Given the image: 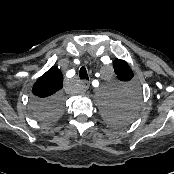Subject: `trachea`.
<instances>
[{
    "instance_id": "3493384b",
    "label": "trachea",
    "mask_w": 174,
    "mask_h": 174,
    "mask_svg": "<svg viewBox=\"0 0 174 174\" xmlns=\"http://www.w3.org/2000/svg\"><path fill=\"white\" fill-rule=\"evenodd\" d=\"M79 77H80V79L89 80V77H88V74H87V70H86L85 67H81V68H80Z\"/></svg>"
}]
</instances>
